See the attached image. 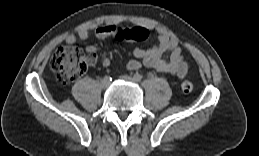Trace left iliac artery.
I'll return each instance as SVG.
<instances>
[{"mask_svg":"<svg viewBox=\"0 0 259 156\" xmlns=\"http://www.w3.org/2000/svg\"><path fill=\"white\" fill-rule=\"evenodd\" d=\"M133 78L135 79V81L140 82L143 77L141 74L136 73V74H134Z\"/></svg>","mask_w":259,"mask_h":156,"instance_id":"1","label":"left iliac artery"}]
</instances>
